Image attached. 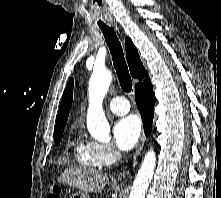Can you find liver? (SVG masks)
I'll return each instance as SVG.
<instances>
[{
	"label": "liver",
	"instance_id": "1",
	"mask_svg": "<svg viewBox=\"0 0 221 198\" xmlns=\"http://www.w3.org/2000/svg\"><path fill=\"white\" fill-rule=\"evenodd\" d=\"M108 177L106 174L79 168H68L61 173L58 182L79 189L84 192H101L106 186Z\"/></svg>",
	"mask_w": 221,
	"mask_h": 198
}]
</instances>
